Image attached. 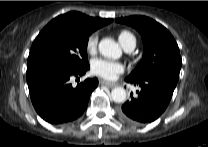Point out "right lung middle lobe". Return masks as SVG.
Here are the masks:
<instances>
[{"label": "right lung middle lobe", "instance_id": "obj_1", "mask_svg": "<svg viewBox=\"0 0 208 147\" xmlns=\"http://www.w3.org/2000/svg\"><path fill=\"white\" fill-rule=\"evenodd\" d=\"M91 33L71 24H48L31 46L27 69L45 65L87 67V43Z\"/></svg>", "mask_w": 208, "mask_h": 147}]
</instances>
